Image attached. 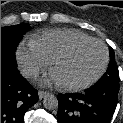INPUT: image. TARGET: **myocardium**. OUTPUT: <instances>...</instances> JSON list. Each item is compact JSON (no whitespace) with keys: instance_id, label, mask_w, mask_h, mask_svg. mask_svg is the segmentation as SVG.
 Listing matches in <instances>:
<instances>
[{"instance_id":"obj_1","label":"myocardium","mask_w":123,"mask_h":123,"mask_svg":"<svg viewBox=\"0 0 123 123\" xmlns=\"http://www.w3.org/2000/svg\"><path fill=\"white\" fill-rule=\"evenodd\" d=\"M88 43H97L103 48L104 59H103V63L101 65L100 69L98 70V72L90 80H88V81H86L84 83H80V84H63V83H61L60 86L64 90L72 91V92L85 90V89L91 87L92 85H94L103 76V74L105 73V71L107 69V66H108V63H109L108 47L106 46V44L104 42H102L101 40L96 39V38H89V39H83V40L76 41V42L70 44L69 46H67L62 51H60L51 60V68H52V70L54 69V67L56 66V64L58 62H60L61 60L67 58L76 49H78L79 47H81V46H83L85 44H88Z\"/></svg>"}]
</instances>
